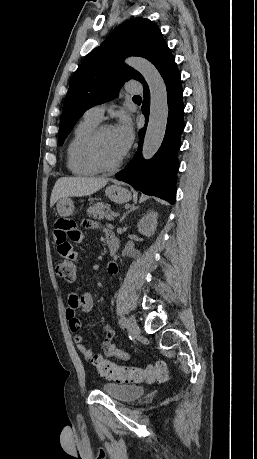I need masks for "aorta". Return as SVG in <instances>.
Instances as JSON below:
<instances>
[{
  "label": "aorta",
  "mask_w": 257,
  "mask_h": 459,
  "mask_svg": "<svg viewBox=\"0 0 257 459\" xmlns=\"http://www.w3.org/2000/svg\"><path fill=\"white\" fill-rule=\"evenodd\" d=\"M127 63L142 74L150 90V115L142 155L145 159L152 158L160 148L167 126L168 100L167 89L159 71L143 58H130Z\"/></svg>",
  "instance_id": "1"
}]
</instances>
